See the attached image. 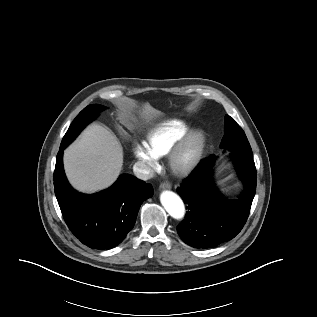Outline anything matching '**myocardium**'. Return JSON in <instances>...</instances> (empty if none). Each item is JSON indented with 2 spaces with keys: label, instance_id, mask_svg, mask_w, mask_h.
Masks as SVG:
<instances>
[{
  "label": "myocardium",
  "instance_id": "myocardium-1",
  "mask_svg": "<svg viewBox=\"0 0 317 317\" xmlns=\"http://www.w3.org/2000/svg\"><path fill=\"white\" fill-rule=\"evenodd\" d=\"M206 145L202 131L186 133L170 153L172 171L180 176L189 174L200 162Z\"/></svg>",
  "mask_w": 317,
  "mask_h": 317
}]
</instances>
